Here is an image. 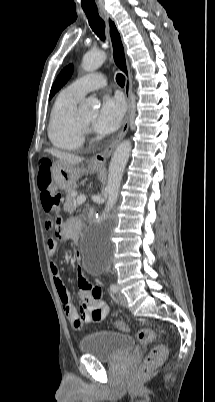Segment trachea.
Here are the masks:
<instances>
[{
    "instance_id": "1",
    "label": "trachea",
    "mask_w": 215,
    "mask_h": 402,
    "mask_svg": "<svg viewBox=\"0 0 215 402\" xmlns=\"http://www.w3.org/2000/svg\"><path fill=\"white\" fill-rule=\"evenodd\" d=\"M84 12L88 18L89 25L94 33L101 39L105 40V23L99 16L97 9H84ZM116 81L120 86L125 85V77L122 74L116 75Z\"/></svg>"
}]
</instances>
